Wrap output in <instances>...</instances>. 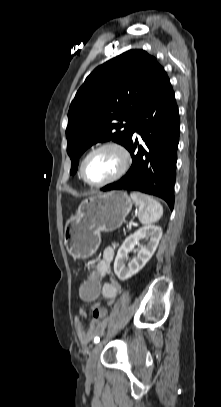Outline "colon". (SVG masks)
<instances>
[{"mask_svg":"<svg viewBox=\"0 0 221 407\" xmlns=\"http://www.w3.org/2000/svg\"><path fill=\"white\" fill-rule=\"evenodd\" d=\"M86 276L83 278L82 283L78 284L77 298L82 300L84 306H90L92 301L99 299L102 285L97 271H88ZM107 315L108 307L106 305L95 306L93 310L94 318L102 319L106 318Z\"/></svg>","mask_w":221,"mask_h":407,"instance_id":"obj_1","label":"colon"}]
</instances>
